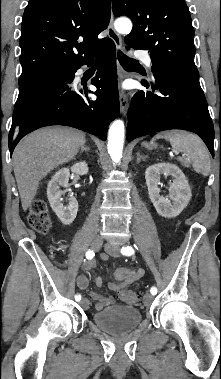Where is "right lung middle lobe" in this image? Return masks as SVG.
I'll return each mask as SVG.
<instances>
[{
  "label": "right lung middle lobe",
  "mask_w": 221,
  "mask_h": 379,
  "mask_svg": "<svg viewBox=\"0 0 221 379\" xmlns=\"http://www.w3.org/2000/svg\"><path fill=\"white\" fill-rule=\"evenodd\" d=\"M52 72H53V70L48 71V72H44V73L39 74V75H36V76L31 77L27 80L20 81L19 82V96H18V99L16 102V106L22 104L25 101L26 95L29 93V91L31 90L32 86L35 83L43 80L44 78L49 76Z\"/></svg>",
  "instance_id": "obj_1"
}]
</instances>
